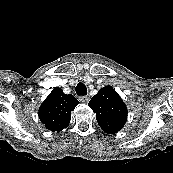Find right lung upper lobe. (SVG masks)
<instances>
[{"mask_svg":"<svg viewBox=\"0 0 173 173\" xmlns=\"http://www.w3.org/2000/svg\"><path fill=\"white\" fill-rule=\"evenodd\" d=\"M79 103L72 94L56 87L39 108V118L50 131L60 132L69 125L71 111Z\"/></svg>","mask_w":173,"mask_h":173,"instance_id":"cb5924a9","label":"right lung upper lobe"}]
</instances>
